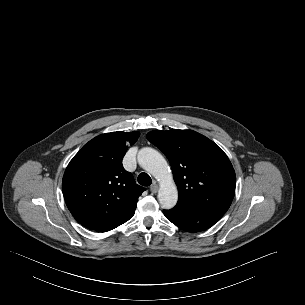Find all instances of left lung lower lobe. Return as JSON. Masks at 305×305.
<instances>
[{"label":"left lung lower lobe","instance_id":"0a47b994","mask_svg":"<svg viewBox=\"0 0 305 305\" xmlns=\"http://www.w3.org/2000/svg\"><path fill=\"white\" fill-rule=\"evenodd\" d=\"M166 218L179 228L189 232H199L213 226L224 211L186 212L180 210H163Z\"/></svg>","mask_w":305,"mask_h":305}]
</instances>
